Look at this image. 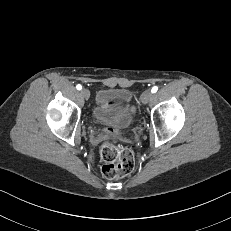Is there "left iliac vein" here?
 <instances>
[{"label":"left iliac vein","instance_id":"obj_1","mask_svg":"<svg viewBox=\"0 0 231 231\" xmlns=\"http://www.w3.org/2000/svg\"><path fill=\"white\" fill-rule=\"evenodd\" d=\"M151 97H152V92L150 90L144 91L141 97L142 103L147 104L150 101Z\"/></svg>","mask_w":231,"mask_h":231}]
</instances>
